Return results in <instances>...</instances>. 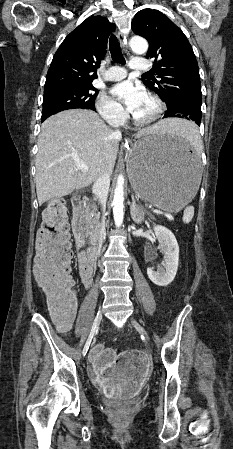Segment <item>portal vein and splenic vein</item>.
<instances>
[{
  "label": "portal vein and splenic vein",
  "instance_id": "18ae733b",
  "mask_svg": "<svg viewBox=\"0 0 233 449\" xmlns=\"http://www.w3.org/2000/svg\"><path fill=\"white\" fill-rule=\"evenodd\" d=\"M75 165H76L77 169H79V170H81L83 172H87L88 171V166L86 165V163L81 161V160H79V159L75 160ZM152 211L154 213H156V214H164V215H166L164 212H162L159 209H152Z\"/></svg>",
  "mask_w": 233,
  "mask_h": 449
}]
</instances>
